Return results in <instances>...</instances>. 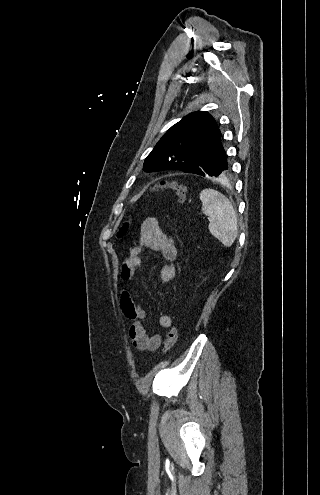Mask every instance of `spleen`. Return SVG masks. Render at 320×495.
<instances>
[{"mask_svg": "<svg viewBox=\"0 0 320 495\" xmlns=\"http://www.w3.org/2000/svg\"><path fill=\"white\" fill-rule=\"evenodd\" d=\"M202 212L210 218L209 231L225 247H231L238 235L237 215L229 199L214 189L199 194Z\"/></svg>", "mask_w": 320, "mask_h": 495, "instance_id": "1", "label": "spleen"}]
</instances>
